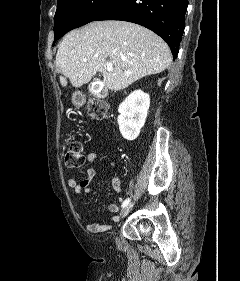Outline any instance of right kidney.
Listing matches in <instances>:
<instances>
[{
    "mask_svg": "<svg viewBox=\"0 0 240 281\" xmlns=\"http://www.w3.org/2000/svg\"><path fill=\"white\" fill-rule=\"evenodd\" d=\"M149 106L150 97L141 90L133 91L119 105L117 122L124 139L131 141L138 137L145 124Z\"/></svg>",
    "mask_w": 240,
    "mask_h": 281,
    "instance_id": "obj_1",
    "label": "right kidney"
}]
</instances>
